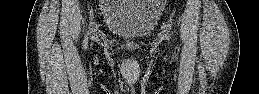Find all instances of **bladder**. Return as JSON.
Wrapping results in <instances>:
<instances>
[{
  "label": "bladder",
  "mask_w": 259,
  "mask_h": 94,
  "mask_svg": "<svg viewBox=\"0 0 259 94\" xmlns=\"http://www.w3.org/2000/svg\"><path fill=\"white\" fill-rule=\"evenodd\" d=\"M106 28L124 41L149 36L157 25L161 8L151 0H112L104 9Z\"/></svg>",
  "instance_id": "1"
}]
</instances>
